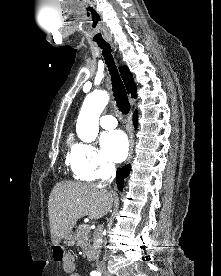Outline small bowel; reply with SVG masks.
I'll use <instances>...</instances> for the list:
<instances>
[{"label": "small bowel", "instance_id": "obj_1", "mask_svg": "<svg viewBox=\"0 0 221 276\" xmlns=\"http://www.w3.org/2000/svg\"><path fill=\"white\" fill-rule=\"evenodd\" d=\"M62 267L64 272L67 273L69 276H79V274L76 272L75 259L73 256H66L65 260L63 261Z\"/></svg>", "mask_w": 221, "mask_h": 276}]
</instances>
